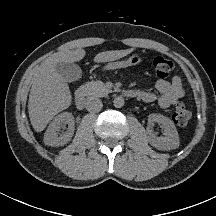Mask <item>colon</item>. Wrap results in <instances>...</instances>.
<instances>
[{
    "instance_id": "1",
    "label": "colon",
    "mask_w": 216,
    "mask_h": 216,
    "mask_svg": "<svg viewBox=\"0 0 216 216\" xmlns=\"http://www.w3.org/2000/svg\"><path fill=\"white\" fill-rule=\"evenodd\" d=\"M153 68L156 75L160 78H165L173 70V62L165 57L156 56L153 59ZM191 118L190 110L183 103H177L173 113V121L179 127H185Z\"/></svg>"
}]
</instances>
